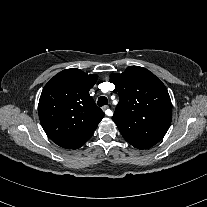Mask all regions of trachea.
Listing matches in <instances>:
<instances>
[{
	"mask_svg": "<svg viewBox=\"0 0 207 207\" xmlns=\"http://www.w3.org/2000/svg\"><path fill=\"white\" fill-rule=\"evenodd\" d=\"M97 104H98L99 107H102V106L108 104V100H107L106 97L101 96V97L98 98Z\"/></svg>",
	"mask_w": 207,
	"mask_h": 207,
	"instance_id": "1",
	"label": "trachea"
}]
</instances>
